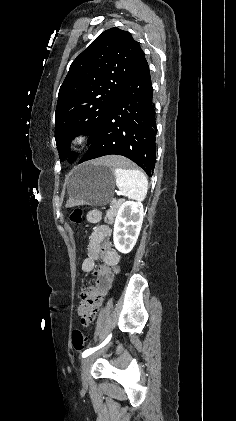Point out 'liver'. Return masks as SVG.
<instances>
[{
	"mask_svg": "<svg viewBox=\"0 0 236 421\" xmlns=\"http://www.w3.org/2000/svg\"><path fill=\"white\" fill-rule=\"evenodd\" d=\"M115 162H118V164H124L125 160L124 158H116V156H104L103 160H99V164H109V166H113Z\"/></svg>",
	"mask_w": 236,
	"mask_h": 421,
	"instance_id": "1",
	"label": "liver"
}]
</instances>
